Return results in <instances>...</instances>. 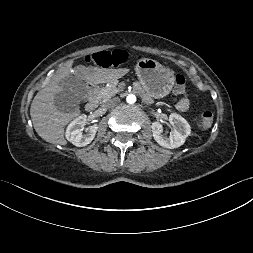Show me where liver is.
<instances>
[{"label":"liver","mask_w":253,"mask_h":253,"mask_svg":"<svg viewBox=\"0 0 253 253\" xmlns=\"http://www.w3.org/2000/svg\"><path fill=\"white\" fill-rule=\"evenodd\" d=\"M72 65L73 61H68L60 67L49 84L36 94L30 107V116L37 134L49 143L63 146L67 144L64 137L65 126L80 114V110L78 107L73 113H65L54 105L55 95L63 90L61 81L74 74L87 84L95 86L115 82L124 74L122 69H104L83 65L72 68Z\"/></svg>","instance_id":"6515ba94"}]
</instances>
